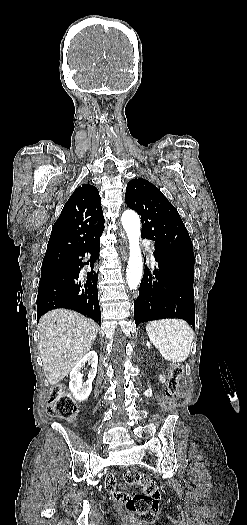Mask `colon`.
Segmentation results:
<instances>
[{
  "label": "colon",
  "instance_id": "5ec220e1",
  "mask_svg": "<svg viewBox=\"0 0 247 525\" xmlns=\"http://www.w3.org/2000/svg\"><path fill=\"white\" fill-rule=\"evenodd\" d=\"M184 365L176 362L169 368L166 379V390L170 398L178 394L183 382ZM78 413V406L69 395L63 383H55L52 387L47 404V414L52 417L68 420ZM127 484L139 487L137 492L126 496V507L133 517L140 522L153 523L158 517L160 491L158 484L136 470H128L124 474Z\"/></svg>",
  "mask_w": 247,
  "mask_h": 525
}]
</instances>
